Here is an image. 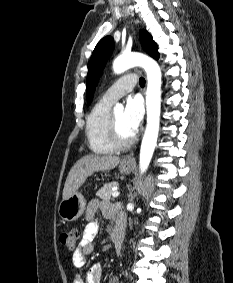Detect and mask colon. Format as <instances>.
<instances>
[{
	"mask_svg": "<svg viewBox=\"0 0 233 283\" xmlns=\"http://www.w3.org/2000/svg\"><path fill=\"white\" fill-rule=\"evenodd\" d=\"M79 239V231L76 228L70 229L60 236V244L63 247L72 249L76 246Z\"/></svg>",
	"mask_w": 233,
	"mask_h": 283,
	"instance_id": "colon-1",
	"label": "colon"
}]
</instances>
